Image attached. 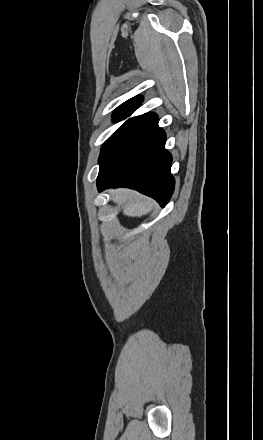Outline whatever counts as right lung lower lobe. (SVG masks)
I'll list each match as a JSON object with an SVG mask.
<instances>
[{
  "label": "right lung lower lobe",
  "instance_id": "obj_1",
  "mask_svg": "<svg viewBox=\"0 0 263 440\" xmlns=\"http://www.w3.org/2000/svg\"><path fill=\"white\" fill-rule=\"evenodd\" d=\"M165 141V132L156 120L114 170L106 178L97 179L98 191L128 187L154 198L164 207L175 184L170 172L172 157L165 149Z\"/></svg>",
  "mask_w": 263,
  "mask_h": 440
}]
</instances>
